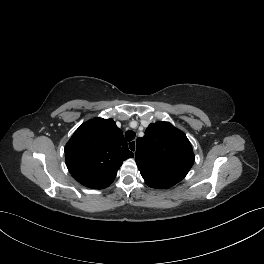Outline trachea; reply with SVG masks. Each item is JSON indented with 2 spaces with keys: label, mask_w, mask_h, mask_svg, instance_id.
Masks as SVG:
<instances>
[{
  "label": "trachea",
  "mask_w": 264,
  "mask_h": 264,
  "mask_svg": "<svg viewBox=\"0 0 264 264\" xmlns=\"http://www.w3.org/2000/svg\"><path fill=\"white\" fill-rule=\"evenodd\" d=\"M136 136V133L134 131H127L125 133V138L127 141H132Z\"/></svg>",
  "instance_id": "trachea-1"
}]
</instances>
